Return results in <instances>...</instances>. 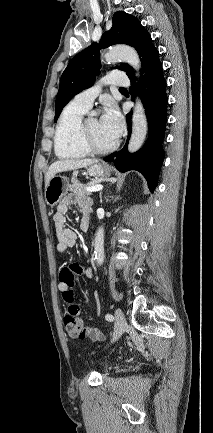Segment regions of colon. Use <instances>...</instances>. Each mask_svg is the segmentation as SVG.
<instances>
[{
	"label": "colon",
	"instance_id": "colon-1",
	"mask_svg": "<svg viewBox=\"0 0 213 433\" xmlns=\"http://www.w3.org/2000/svg\"><path fill=\"white\" fill-rule=\"evenodd\" d=\"M60 282L64 283L68 289L63 292L64 299L68 303V311L63 317V323L67 334L73 338H95L97 332L95 330L88 331L83 320L79 317L80 307L74 303L73 287L75 284L76 274L74 269L65 267L60 272Z\"/></svg>",
	"mask_w": 213,
	"mask_h": 433
}]
</instances>
